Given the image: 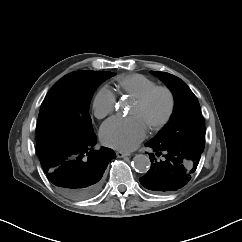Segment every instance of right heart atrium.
<instances>
[{"mask_svg": "<svg viewBox=\"0 0 242 242\" xmlns=\"http://www.w3.org/2000/svg\"><path fill=\"white\" fill-rule=\"evenodd\" d=\"M116 106V96L108 87H101L93 97L92 109L98 119L111 114Z\"/></svg>", "mask_w": 242, "mask_h": 242, "instance_id": "right-heart-atrium-1", "label": "right heart atrium"}]
</instances>
